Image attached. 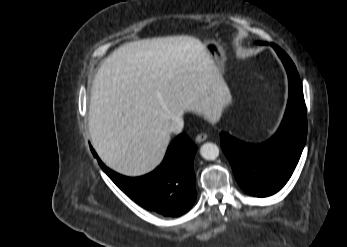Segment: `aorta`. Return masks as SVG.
<instances>
[{
	"instance_id": "1",
	"label": "aorta",
	"mask_w": 347,
	"mask_h": 247,
	"mask_svg": "<svg viewBox=\"0 0 347 247\" xmlns=\"http://www.w3.org/2000/svg\"><path fill=\"white\" fill-rule=\"evenodd\" d=\"M201 156L206 160H215L219 156V147L212 143H204L200 148Z\"/></svg>"
}]
</instances>
